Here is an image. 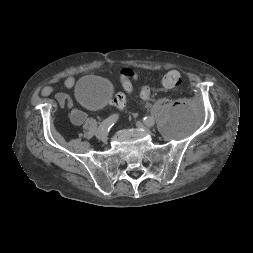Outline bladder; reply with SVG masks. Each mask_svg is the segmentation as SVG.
Segmentation results:
<instances>
[{
    "label": "bladder",
    "instance_id": "bladder-1",
    "mask_svg": "<svg viewBox=\"0 0 253 253\" xmlns=\"http://www.w3.org/2000/svg\"><path fill=\"white\" fill-rule=\"evenodd\" d=\"M76 100L89 109H99L112 98L111 84L98 76H85L75 86Z\"/></svg>",
    "mask_w": 253,
    "mask_h": 253
}]
</instances>
